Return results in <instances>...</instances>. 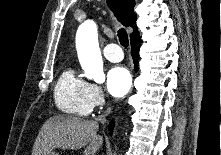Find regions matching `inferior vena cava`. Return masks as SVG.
<instances>
[{"instance_id":"1","label":"inferior vena cava","mask_w":221,"mask_h":155,"mask_svg":"<svg viewBox=\"0 0 221 155\" xmlns=\"http://www.w3.org/2000/svg\"><path fill=\"white\" fill-rule=\"evenodd\" d=\"M111 110H112L111 107L107 108V110L104 112V114H102L96 118V121H100L101 123H105V121H106L105 117L108 114H110Z\"/></svg>"}]
</instances>
